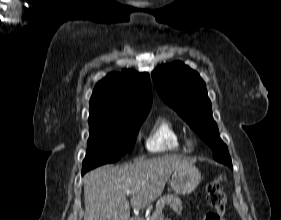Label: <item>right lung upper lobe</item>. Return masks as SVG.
<instances>
[{"instance_id": "1", "label": "right lung upper lobe", "mask_w": 281, "mask_h": 220, "mask_svg": "<svg viewBox=\"0 0 281 220\" xmlns=\"http://www.w3.org/2000/svg\"><path fill=\"white\" fill-rule=\"evenodd\" d=\"M152 104L148 73L124 70L97 83L90 99L89 121H113L147 115Z\"/></svg>"}]
</instances>
